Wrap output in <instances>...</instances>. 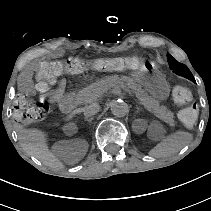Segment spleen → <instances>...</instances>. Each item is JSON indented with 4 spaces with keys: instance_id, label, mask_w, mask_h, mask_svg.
<instances>
[{
    "instance_id": "3e777b00",
    "label": "spleen",
    "mask_w": 211,
    "mask_h": 211,
    "mask_svg": "<svg viewBox=\"0 0 211 211\" xmlns=\"http://www.w3.org/2000/svg\"><path fill=\"white\" fill-rule=\"evenodd\" d=\"M193 140V135L184 131H177L164 138L153 149L149 151V155L161 158L171 156L180 151L184 146Z\"/></svg>"
}]
</instances>
